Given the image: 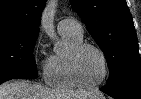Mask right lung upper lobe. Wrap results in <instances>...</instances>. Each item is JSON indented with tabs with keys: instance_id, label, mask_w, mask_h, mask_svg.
I'll return each instance as SVG.
<instances>
[{
	"instance_id": "1",
	"label": "right lung upper lobe",
	"mask_w": 141,
	"mask_h": 99,
	"mask_svg": "<svg viewBox=\"0 0 141 99\" xmlns=\"http://www.w3.org/2000/svg\"><path fill=\"white\" fill-rule=\"evenodd\" d=\"M45 0H0V31L39 33Z\"/></svg>"
}]
</instances>
